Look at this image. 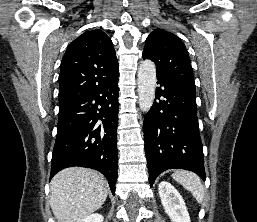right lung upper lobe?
Masks as SVG:
<instances>
[{"label": "right lung upper lobe", "instance_id": "1", "mask_svg": "<svg viewBox=\"0 0 257 222\" xmlns=\"http://www.w3.org/2000/svg\"><path fill=\"white\" fill-rule=\"evenodd\" d=\"M111 39L100 29L83 33L66 49L59 74V107L94 91L118 72Z\"/></svg>", "mask_w": 257, "mask_h": 222}]
</instances>
